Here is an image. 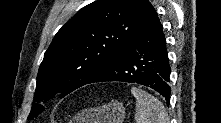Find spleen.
Here are the masks:
<instances>
[{
  "label": "spleen",
  "mask_w": 221,
  "mask_h": 123,
  "mask_svg": "<svg viewBox=\"0 0 221 123\" xmlns=\"http://www.w3.org/2000/svg\"><path fill=\"white\" fill-rule=\"evenodd\" d=\"M131 93L136 98V123H168L165 107L157 98L136 87Z\"/></svg>",
  "instance_id": "1"
}]
</instances>
